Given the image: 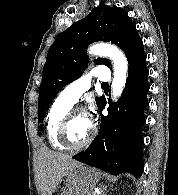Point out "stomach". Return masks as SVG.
Segmentation results:
<instances>
[{"instance_id":"obj_1","label":"stomach","mask_w":178,"mask_h":195,"mask_svg":"<svg viewBox=\"0 0 178 195\" xmlns=\"http://www.w3.org/2000/svg\"><path fill=\"white\" fill-rule=\"evenodd\" d=\"M100 179L98 170L81 165L61 180L57 195H91Z\"/></svg>"}]
</instances>
